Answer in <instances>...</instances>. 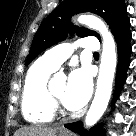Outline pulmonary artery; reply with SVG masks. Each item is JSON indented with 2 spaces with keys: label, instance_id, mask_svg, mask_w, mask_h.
Masks as SVG:
<instances>
[{
  "label": "pulmonary artery",
  "instance_id": "obj_1",
  "mask_svg": "<svg viewBox=\"0 0 136 136\" xmlns=\"http://www.w3.org/2000/svg\"><path fill=\"white\" fill-rule=\"evenodd\" d=\"M74 47L97 52L100 48L99 42L95 37H86L80 39L75 44L63 43L46 51L40 60L48 67L56 70L72 54Z\"/></svg>",
  "mask_w": 136,
  "mask_h": 136
}]
</instances>
